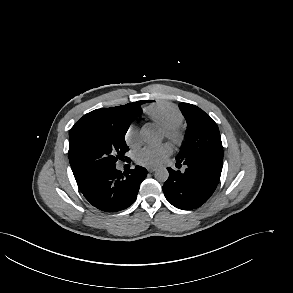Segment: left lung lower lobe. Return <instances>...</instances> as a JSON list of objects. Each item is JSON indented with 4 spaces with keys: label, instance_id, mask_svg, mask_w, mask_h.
<instances>
[{
    "label": "left lung lower lobe",
    "instance_id": "obj_1",
    "mask_svg": "<svg viewBox=\"0 0 293 293\" xmlns=\"http://www.w3.org/2000/svg\"><path fill=\"white\" fill-rule=\"evenodd\" d=\"M187 165L185 172L167 168L169 178L163 185L166 199L175 207L191 210L204 204L220 180L223 161L204 155L177 159Z\"/></svg>",
    "mask_w": 293,
    "mask_h": 293
}]
</instances>
